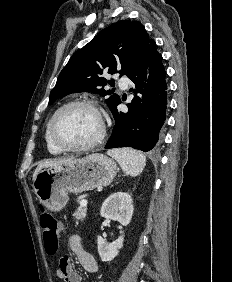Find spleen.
I'll use <instances>...</instances> for the list:
<instances>
[{"label": "spleen", "instance_id": "obj_1", "mask_svg": "<svg viewBox=\"0 0 232 282\" xmlns=\"http://www.w3.org/2000/svg\"><path fill=\"white\" fill-rule=\"evenodd\" d=\"M107 154L118 162L123 172L131 176L140 174L146 164V157L131 148L113 149Z\"/></svg>", "mask_w": 232, "mask_h": 282}]
</instances>
